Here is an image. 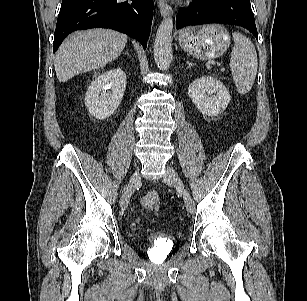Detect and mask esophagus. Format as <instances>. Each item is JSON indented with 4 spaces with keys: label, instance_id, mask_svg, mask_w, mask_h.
<instances>
[{
    "label": "esophagus",
    "instance_id": "esophagus-1",
    "mask_svg": "<svg viewBox=\"0 0 307 301\" xmlns=\"http://www.w3.org/2000/svg\"><path fill=\"white\" fill-rule=\"evenodd\" d=\"M158 6H159L160 13L163 17H167L172 14V8L167 3L160 1Z\"/></svg>",
    "mask_w": 307,
    "mask_h": 301
}]
</instances>
